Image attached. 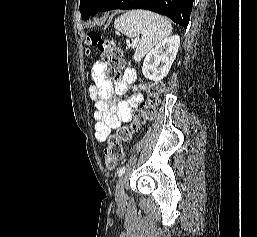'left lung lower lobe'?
Listing matches in <instances>:
<instances>
[{
  "instance_id": "1",
  "label": "left lung lower lobe",
  "mask_w": 257,
  "mask_h": 237,
  "mask_svg": "<svg viewBox=\"0 0 257 237\" xmlns=\"http://www.w3.org/2000/svg\"><path fill=\"white\" fill-rule=\"evenodd\" d=\"M194 0H109L100 10L146 9L171 18L174 22L188 26Z\"/></svg>"
}]
</instances>
